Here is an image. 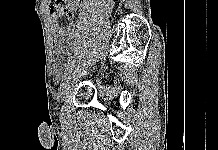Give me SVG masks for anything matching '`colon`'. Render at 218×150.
<instances>
[{
    "instance_id": "1",
    "label": "colon",
    "mask_w": 218,
    "mask_h": 150,
    "mask_svg": "<svg viewBox=\"0 0 218 150\" xmlns=\"http://www.w3.org/2000/svg\"><path fill=\"white\" fill-rule=\"evenodd\" d=\"M64 2V0H52L50 8L54 9L57 6H59L60 4H62Z\"/></svg>"
}]
</instances>
